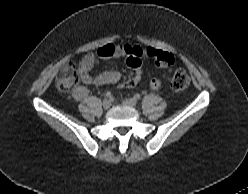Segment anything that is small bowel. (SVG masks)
I'll return each mask as SVG.
<instances>
[{
    "label": "small bowel",
    "mask_w": 248,
    "mask_h": 194,
    "mask_svg": "<svg viewBox=\"0 0 248 194\" xmlns=\"http://www.w3.org/2000/svg\"><path fill=\"white\" fill-rule=\"evenodd\" d=\"M157 50L153 48H142L139 45H130V44H106L98 49L96 53L86 54L79 62V73L81 81L84 85H78L73 89L72 95L74 99L81 101L84 100L88 94L89 90L86 85H109L118 82L121 78V73L118 70L106 71L97 76H92L90 74L91 69L100 59H107L111 57H127L128 66L138 72L140 69V58L143 56L154 58V53ZM171 71V68H169ZM132 79V78H131ZM129 79V85L126 87L128 89L133 88L137 83ZM150 88L154 92L162 91V83L159 79H153L150 82Z\"/></svg>",
    "instance_id": "c3829d8e"
}]
</instances>
